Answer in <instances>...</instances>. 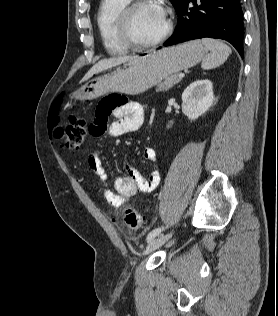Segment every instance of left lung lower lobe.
Wrapping results in <instances>:
<instances>
[{
	"mask_svg": "<svg viewBox=\"0 0 278 316\" xmlns=\"http://www.w3.org/2000/svg\"><path fill=\"white\" fill-rule=\"evenodd\" d=\"M176 13L178 25L164 46L211 37L228 41L243 56V12L239 0H182Z\"/></svg>",
	"mask_w": 278,
	"mask_h": 316,
	"instance_id": "left-lung-lower-lobe-1",
	"label": "left lung lower lobe"
}]
</instances>
